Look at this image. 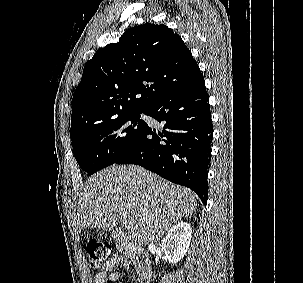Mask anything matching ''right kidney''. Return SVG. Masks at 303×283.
Wrapping results in <instances>:
<instances>
[{
    "label": "right kidney",
    "instance_id": "1",
    "mask_svg": "<svg viewBox=\"0 0 303 283\" xmlns=\"http://www.w3.org/2000/svg\"><path fill=\"white\" fill-rule=\"evenodd\" d=\"M192 229L187 222L173 226L162 241L161 248L165 257L172 264L178 263L188 251Z\"/></svg>",
    "mask_w": 303,
    "mask_h": 283
}]
</instances>
